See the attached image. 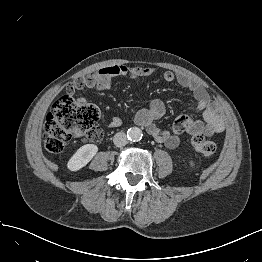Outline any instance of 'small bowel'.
<instances>
[{"instance_id": "c3829d8e", "label": "small bowel", "mask_w": 262, "mask_h": 262, "mask_svg": "<svg viewBox=\"0 0 262 262\" xmlns=\"http://www.w3.org/2000/svg\"><path fill=\"white\" fill-rule=\"evenodd\" d=\"M156 73L152 67H134L129 68L124 64H116L104 67L99 71L89 74L90 79L85 82L86 87L95 88L100 92H106L110 88L113 79L121 76L130 78L149 77ZM167 82H178V84L190 92L196 99L195 111H200L202 120H192L186 115H180L174 122L173 131L159 128L155 122L163 117L165 113L164 103L159 100H153L150 104L142 108L135 116L137 124L146 128L147 132L158 142L164 143L169 148H175L180 142L181 134L184 132H201L206 136H212L221 133L225 129L224 119L218 112V106L208 91L195 79L188 75L172 71L164 74ZM121 119L113 116L108 126L116 128L120 126Z\"/></svg>"}]
</instances>
